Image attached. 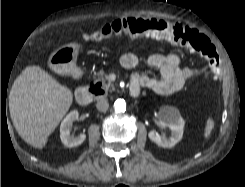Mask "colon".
I'll list each match as a JSON object with an SVG mask.
<instances>
[{
	"mask_svg": "<svg viewBox=\"0 0 245 187\" xmlns=\"http://www.w3.org/2000/svg\"><path fill=\"white\" fill-rule=\"evenodd\" d=\"M123 36L132 38L151 36L191 49L201 54L208 61L213 72L219 74V56L210 39L198 29L180 22L157 18H119L92 33L83 34L82 39L97 43Z\"/></svg>",
	"mask_w": 245,
	"mask_h": 187,
	"instance_id": "obj_1",
	"label": "colon"
}]
</instances>
